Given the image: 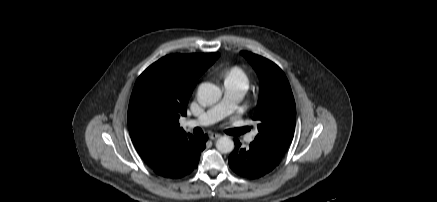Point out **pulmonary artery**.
I'll return each mask as SVG.
<instances>
[{
	"label": "pulmonary artery",
	"instance_id": "1",
	"mask_svg": "<svg viewBox=\"0 0 437 202\" xmlns=\"http://www.w3.org/2000/svg\"><path fill=\"white\" fill-rule=\"evenodd\" d=\"M247 89V83L235 80H226L223 87V98L219 103L208 109L196 119L188 122L189 126H207L211 125L224 117L231 114L237 107V104L244 96ZM254 135L246 137L247 142H251Z\"/></svg>",
	"mask_w": 437,
	"mask_h": 202
}]
</instances>
